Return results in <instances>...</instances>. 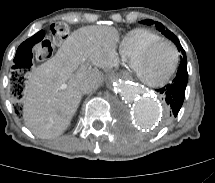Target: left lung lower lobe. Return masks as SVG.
Wrapping results in <instances>:
<instances>
[{
    "label": "left lung lower lobe",
    "mask_w": 215,
    "mask_h": 183,
    "mask_svg": "<svg viewBox=\"0 0 215 183\" xmlns=\"http://www.w3.org/2000/svg\"><path fill=\"white\" fill-rule=\"evenodd\" d=\"M187 81V60L185 58L181 60L176 77L172 83L157 90L160 94H162V97L166 101L168 119L176 117L180 108L182 107Z\"/></svg>",
    "instance_id": "1"
}]
</instances>
